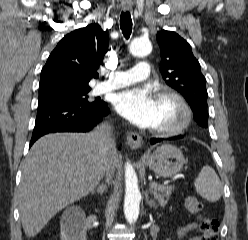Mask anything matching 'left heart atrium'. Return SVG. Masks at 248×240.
<instances>
[{"mask_svg": "<svg viewBox=\"0 0 248 240\" xmlns=\"http://www.w3.org/2000/svg\"><path fill=\"white\" fill-rule=\"evenodd\" d=\"M157 96L149 89L133 87L120 92L115 99L116 111L143 128H155L158 123Z\"/></svg>", "mask_w": 248, "mask_h": 240, "instance_id": "1", "label": "left heart atrium"}]
</instances>
